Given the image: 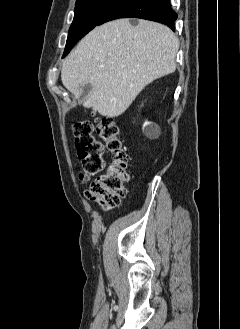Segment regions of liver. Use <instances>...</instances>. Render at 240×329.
<instances>
[{"mask_svg": "<svg viewBox=\"0 0 240 329\" xmlns=\"http://www.w3.org/2000/svg\"><path fill=\"white\" fill-rule=\"evenodd\" d=\"M178 48L177 36L162 24L118 19L95 27L80 41L63 62L61 80L76 99L91 83L84 106L117 117L148 84L175 71Z\"/></svg>", "mask_w": 240, "mask_h": 329, "instance_id": "liver-1", "label": "liver"}]
</instances>
